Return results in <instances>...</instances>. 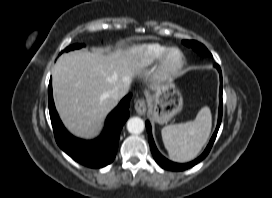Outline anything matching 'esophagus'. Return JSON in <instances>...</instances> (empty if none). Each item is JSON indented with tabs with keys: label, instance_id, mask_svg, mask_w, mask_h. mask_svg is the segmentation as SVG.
Returning <instances> with one entry per match:
<instances>
[{
	"label": "esophagus",
	"instance_id": "esophagus-1",
	"mask_svg": "<svg viewBox=\"0 0 272 198\" xmlns=\"http://www.w3.org/2000/svg\"><path fill=\"white\" fill-rule=\"evenodd\" d=\"M135 111L139 114V115H144L146 112V102L144 99H138L135 101V105H134Z\"/></svg>",
	"mask_w": 272,
	"mask_h": 198
}]
</instances>
